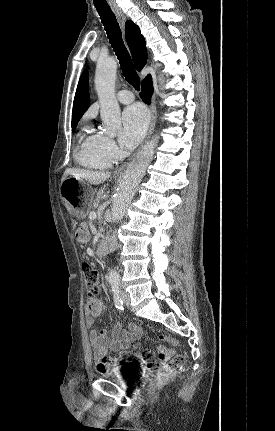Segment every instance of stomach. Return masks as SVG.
Masks as SVG:
<instances>
[{"instance_id": "1", "label": "stomach", "mask_w": 275, "mask_h": 431, "mask_svg": "<svg viewBox=\"0 0 275 431\" xmlns=\"http://www.w3.org/2000/svg\"><path fill=\"white\" fill-rule=\"evenodd\" d=\"M60 195L68 213L80 219L89 212L94 191L82 179L70 176L62 181Z\"/></svg>"}]
</instances>
